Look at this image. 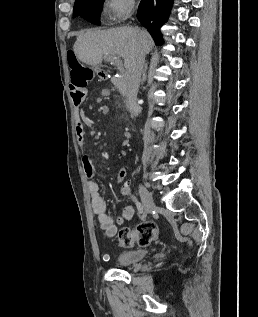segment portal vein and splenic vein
I'll use <instances>...</instances> for the list:
<instances>
[{
    "label": "portal vein and splenic vein",
    "mask_w": 258,
    "mask_h": 317,
    "mask_svg": "<svg viewBox=\"0 0 258 317\" xmlns=\"http://www.w3.org/2000/svg\"><path fill=\"white\" fill-rule=\"evenodd\" d=\"M107 58H109V60H112V62H114V60H116L118 56H107Z\"/></svg>",
    "instance_id": "18ae733b"
}]
</instances>
